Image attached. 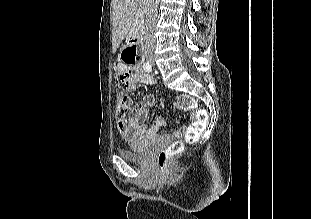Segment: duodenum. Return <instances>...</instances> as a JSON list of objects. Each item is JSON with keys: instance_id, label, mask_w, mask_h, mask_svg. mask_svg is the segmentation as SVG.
<instances>
[{"instance_id": "obj_1", "label": "duodenum", "mask_w": 311, "mask_h": 219, "mask_svg": "<svg viewBox=\"0 0 311 219\" xmlns=\"http://www.w3.org/2000/svg\"><path fill=\"white\" fill-rule=\"evenodd\" d=\"M140 42V31L138 28L133 29L130 31L127 37V44L129 46V52L131 54H134L137 56L139 54L137 46L139 45Z\"/></svg>"}]
</instances>
